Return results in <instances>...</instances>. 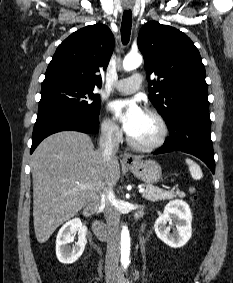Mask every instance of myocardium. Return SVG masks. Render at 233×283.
Returning <instances> with one entry per match:
<instances>
[{"instance_id":"myocardium-1","label":"myocardium","mask_w":233,"mask_h":283,"mask_svg":"<svg viewBox=\"0 0 233 283\" xmlns=\"http://www.w3.org/2000/svg\"><path fill=\"white\" fill-rule=\"evenodd\" d=\"M144 112L153 116L157 120L160 126V135L158 139L152 143L145 144V143H140L134 140L130 136V134H127V141L130 144V146H132L133 148L140 150V151L149 152V151L156 150L164 145V143L166 142L168 138L169 129H168L166 120L164 119L162 114L158 112L156 109L146 108Z\"/></svg>"}]
</instances>
